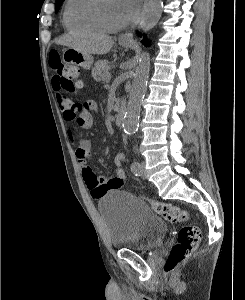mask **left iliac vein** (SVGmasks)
I'll use <instances>...</instances> for the list:
<instances>
[{
  "mask_svg": "<svg viewBox=\"0 0 245 300\" xmlns=\"http://www.w3.org/2000/svg\"><path fill=\"white\" fill-rule=\"evenodd\" d=\"M140 170H141L140 175L142 176L143 179H145L146 178V172H145V162L144 161H142L140 163Z\"/></svg>",
  "mask_w": 245,
  "mask_h": 300,
  "instance_id": "1",
  "label": "left iliac vein"
}]
</instances>
